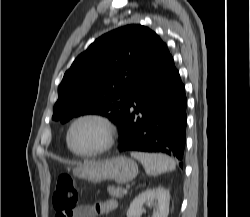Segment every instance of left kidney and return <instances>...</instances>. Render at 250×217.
<instances>
[{
	"mask_svg": "<svg viewBox=\"0 0 250 217\" xmlns=\"http://www.w3.org/2000/svg\"><path fill=\"white\" fill-rule=\"evenodd\" d=\"M170 193L162 187L150 188L139 194L127 210V217H140L146 204L154 208L152 217H168Z\"/></svg>",
	"mask_w": 250,
	"mask_h": 217,
	"instance_id": "left-kidney-1",
	"label": "left kidney"
}]
</instances>
